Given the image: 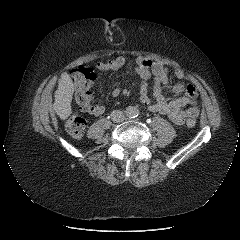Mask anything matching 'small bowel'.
<instances>
[{
  "label": "small bowel",
  "mask_w": 240,
  "mask_h": 240,
  "mask_svg": "<svg viewBox=\"0 0 240 240\" xmlns=\"http://www.w3.org/2000/svg\"><path fill=\"white\" fill-rule=\"evenodd\" d=\"M125 62V57L119 56L106 63L97 64V68L101 71H116L121 69ZM135 71L140 77L139 100L149 111L164 114L178 125L183 124L188 118H197L199 115V107L196 102L198 93L193 84L183 82L185 74L182 70L176 69L174 71L175 76L181 82L173 85L170 92L175 94L185 92V95L171 100H167L161 90V85H166L170 78V70L165 64L157 60L138 57ZM151 75L155 76L156 82L153 94L150 96L147 81ZM119 95L120 90L114 89L112 96L118 97ZM104 110L103 105L97 104L92 105L88 112L92 116H100L104 113Z\"/></svg>",
  "instance_id": "obj_1"
}]
</instances>
